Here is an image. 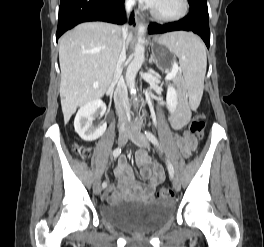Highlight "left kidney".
I'll return each instance as SVG.
<instances>
[{"label":"left kidney","instance_id":"5707ae66","mask_svg":"<svg viewBox=\"0 0 264 247\" xmlns=\"http://www.w3.org/2000/svg\"><path fill=\"white\" fill-rule=\"evenodd\" d=\"M167 107L171 113H174L178 107V93L174 86L168 85L167 90Z\"/></svg>","mask_w":264,"mask_h":247}]
</instances>
